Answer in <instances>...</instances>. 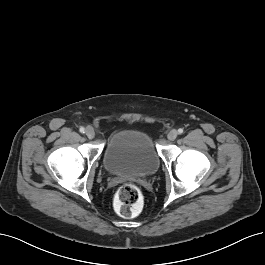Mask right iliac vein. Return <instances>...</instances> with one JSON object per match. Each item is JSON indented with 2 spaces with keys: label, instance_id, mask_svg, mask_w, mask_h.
Listing matches in <instances>:
<instances>
[{
  "label": "right iliac vein",
  "instance_id": "1",
  "mask_svg": "<svg viewBox=\"0 0 265 265\" xmlns=\"http://www.w3.org/2000/svg\"><path fill=\"white\" fill-rule=\"evenodd\" d=\"M85 133H86V136H87L89 139H93L94 136H95L94 129H93L92 127H90V126L86 128Z\"/></svg>",
  "mask_w": 265,
  "mask_h": 265
}]
</instances>
